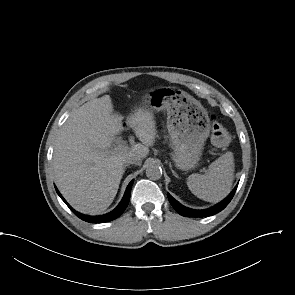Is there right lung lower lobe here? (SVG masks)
Segmentation results:
<instances>
[{
    "label": "right lung lower lobe",
    "mask_w": 295,
    "mask_h": 295,
    "mask_svg": "<svg viewBox=\"0 0 295 295\" xmlns=\"http://www.w3.org/2000/svg\"><path fill=\"white\" fill-rule=\"evenodd\" d=\"M133 184V180L129 183V185L127 186V189L125 191L124 197L122 199V201L120 202V204L110 213H107L105 215H100V216H88V215H84L81 214L77 211H75L74 209H72L69 204L65 201V199L61 196V194L59 193V191L56 189L58 195L60 196V198L66 203V205L70 208V210L80 219H82L83 221L86 222H91V223H104V222H108L111 220L116 219L117 217H119L124 210L126 209L129 200H130V193H131V187Z\"/></svg>",
    "instance_id": "right-lung-lower-lobe-1"
}]
</instances>
